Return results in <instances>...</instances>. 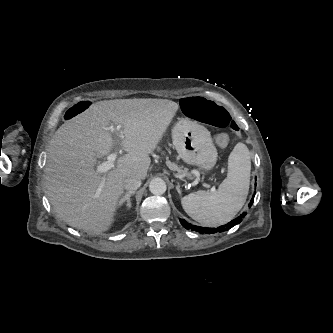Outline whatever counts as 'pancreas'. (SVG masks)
Returning a JSON list of instances; mask_svg holds the SVG:
<instances>
[{"instance_id": "1", "label": "pancreas", "mask_w": 333, "mask_h": 333, "mask_svg": "<svg viewBox=\"0 0 333 333\" xmlns=\"http://www.w3.org/2000/svg\"><path fill=\"white\" fill-rule=\"evenodd\" d=\"M167 166L174 172H177L178 175H188V169L187 168H182V167H178L177 165L171 163V162H167Z\"/></svg>"}]
</instances>
